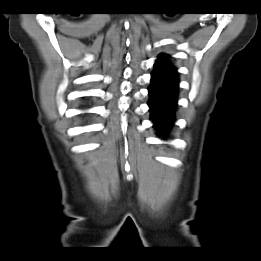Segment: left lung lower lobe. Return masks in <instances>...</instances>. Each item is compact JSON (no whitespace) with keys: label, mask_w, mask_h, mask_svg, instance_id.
I'll return each instance as SVG.
<instances>
[{"label":"left lung lower lobe","mask_w":261,"mask_h":261,"mask_svg":"<svg viewBox=\"0 0 261 261\" xmlns=\"http://www.w3.org/2000/svg\"><path fill=\"white\" fill-rule=\"evenodd\" d=\"M151 73L149 108L157 133L167 137L174 124L178 98V74L168 61L157 59Z\"/></svg>","instance_id":"0a47b994"}]
</instances>
